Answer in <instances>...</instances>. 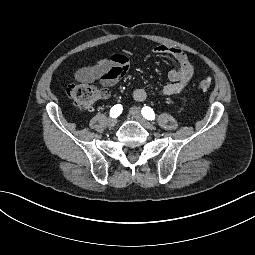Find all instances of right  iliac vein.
Here are the masks:
<instances>
[{"mask_svg": "<svg viewBox=\"0 0 255 255\" xmlns=\"http://www.w3.org/2000/svg\"><path fill=\"white\" fill-rule=\"evenodd\" d=\"M116 123H117V119H115V118H109L107 121L108 126L111 128L114 127L116 125Z\"/></svg>", "mask_w": 255, "mask_h": 255, "instance_id": "1", "label": "right iliac vein"}]
</instances>
